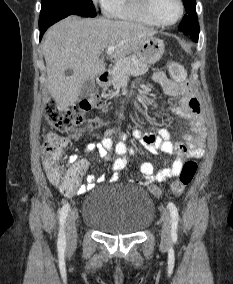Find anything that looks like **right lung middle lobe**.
Here are the masks:
<instances>
[{"label":"right lung middle lobe","instance_id":"right-lung-middle-lobe-1","mask_svg":"<svg viewBox=\"0 0 233 284\" xmlns=\"http://www.w3.org/2000/svg\"><path fill=\"white\" fill-rule=\"evenodd\" d=\"M41 4L39 28L51 26L69 15L84 17L97 15L92 0H42Z\"/></svg>","mask_w":233,"mask_h":284}]
</instances>
